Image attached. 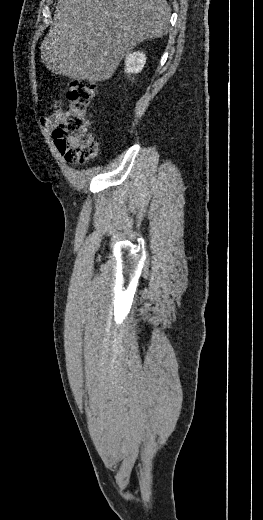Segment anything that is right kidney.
<instances>
[{"label":"right kidney","mask_w":263,"mask_h":520,"mask_svg":"<svg viewBox=\"0 0 263 520\" xmlns=\"http://www.w3.org/2000/svg\"><path fill=\"white\" fill-rule=\"evenodd\" d=\"M145 63V54L140 52L131 53L125 59V72L127 74H137L142 71Z\"/></svg>","instance_id":"right-kidney-1"}]
</instances>
